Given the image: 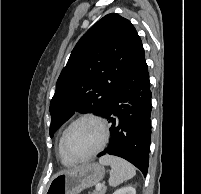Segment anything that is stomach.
<instances>
[{"label":"stomach","mask_w":201,"mask_h":194,"mask_svg":"<svg viewBox=\"0 0 201 194\" xmlns=\"http://www.w3.org/2000/svg\"><path fill=\"white\" fill-rule=\"evenodd\" d=\"M105 169L98 163H90L58 173L51 180L46 194H79L82 190L99 183Z\"/></svg>","instance_id":"0dacf381"}]
</instances>
